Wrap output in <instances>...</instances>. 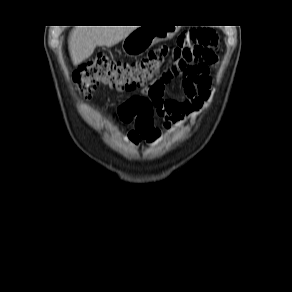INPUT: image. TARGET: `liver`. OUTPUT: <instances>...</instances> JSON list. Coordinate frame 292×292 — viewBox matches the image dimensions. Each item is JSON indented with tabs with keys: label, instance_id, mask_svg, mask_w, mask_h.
Returning <instances> with one entry per match:
<instances>
[{
	"label": "liver",
	"instance_id": "liver-1",
	"mask_svg": "<svg viewBox=\"0 0 292 292\" xmlns=\"http://www.w3.org/2000/svg\"><path fill=\"white\" fill-rule=\"evenodd\" d=\"M135 29V26H77L69 37L73 64L79 65L89 58L96 46L111 47Z\"/></svg>",
	"mask_w": 292,
	"mask_h": 292
}]
</instances>
